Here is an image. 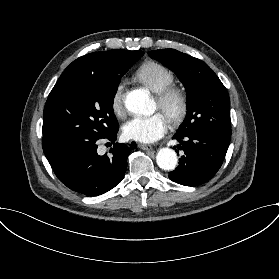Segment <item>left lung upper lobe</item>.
<instances>
[{
    "mask_svg": "<svg viewBox=\"0 0 279 279\" xmlns=\"http://www.w3.org/2000/svg\"><path fill=\"white\" fill-rule=\"evenodd\" d=\"M148 54L172 69L186 88L187 115L176 134L213 130L231 135L228 92L205 62L174 49Z\"/></svg>",
    "mask_w": 279,
    "mask_h": 279,
    "instance_id": "1",
    "label": "left lung upper lobe"
}]
</instances>
